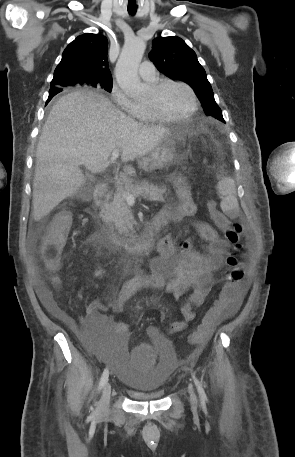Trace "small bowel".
Returning <instances> with one entry per match:
<instances>
[{"label": "small bowel", "mask_w": 295, "mask_h": 457, "mask_svg": "<svg viewBox=\"0 0 295 457\" xmlns=\"http://www.w3.org/2000/svg\"><path fill=\"white\" fill-rule=\"evenodd\" d=\"M173 185L179 202L164 207L157 216L162 221V227L192 218L197 211L187 185L180 179L174 180ZM192 228L202 241L200 250L195 249L190 238L178 244L172 232L165 234L158 243V256L150 262L149 274L127 281L117 298L109 303L116 313L122 312L127 300L143 286L158 289L165 295H171L174 300L189 293L181 308L183 318L173 321L170 331L178 333L187 328L196 317V309L204 304L211 291L214 284V273L223 267L229 253V242L220 237L208 223L195 221L192 223ZM98 241L105 250H108L103 241L100 239ZM38 294L44 306L51 313L61 318H68L61 312L47 288L40 285ZM242 294L243 290L240 291V297L231 311L238 308ZM82 323L91 333L114 332L122 336L128 333V325L111 315L104 314L103 306L98 303L88 306ZM147 332L154 341L162 342L159 328L150 326Z\"/></svg>", "instance_id": "1"}]
</instances>
